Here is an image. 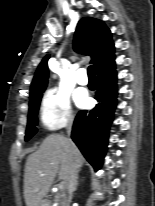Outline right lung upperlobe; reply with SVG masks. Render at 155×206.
<instances>
[{"mask_svg": "<svg viewBox=\"0 0 155 206\" xmlns=\"http://www.w3.org/2000/svg\"><path fill=\"white\" fill-rule=\"evenodd\" d=\"M74 50L91 56V63L95 65L96 73L108 66L115 58L110 30L102 21L91 17L79 21L74 37ZM48 59L49 55L45 56L37 68L30 97L44 91L47 86Z\"/></svg>", "mask_w": 155, "mask_h": 206, "instance_id": "obj_1", "label": "right lung upper lobe"}]
</instances>
